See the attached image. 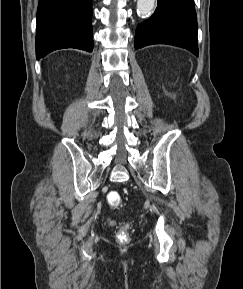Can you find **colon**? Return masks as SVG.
I'll return each mask as SVG.
<instances>
[{
  "label": "colon",
  "instance_id": "1",
  "mask_svg": "<svg viewBox=\"0 0 243 289\" xmlns=\"http://www.w3.org/2000/svg\"><path fill=\"white\" fill-rule=\"evenodd\" d=\"M107 201L110 206L119 207L121 205L122 199L118 192L112 191L107 195ZM117 239L121 243H126L129 241V233L126 226L119 229L117 233Z\"/></svg>",
  "mask_w": 243,
  "mask_h": 289
}]
</instances>
